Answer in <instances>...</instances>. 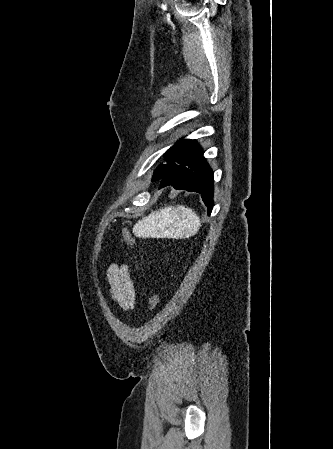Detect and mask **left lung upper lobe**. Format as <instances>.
Instances as JSON below:
<instances>
[{"label":"left lung upper lobe","instance_id":"obj_1","mask_svg":"<svg viewBox=\"0 0 333 449\" xmlns=\"http://www.w3.org/2000/svg\"><path fill=\"white\" fill-rule=\"evenodd\" d=\"M195 144V140H182L168 149L164 154L167 164H161L155 170L153 180H159L165 177L183 164L190 155Z\"/></svg>","mask_w":333,"mask_h":449}]
</instances>
